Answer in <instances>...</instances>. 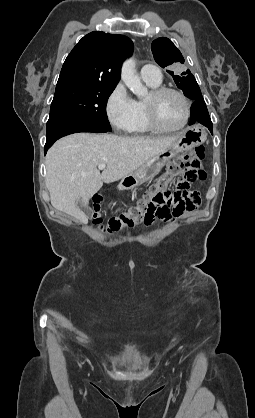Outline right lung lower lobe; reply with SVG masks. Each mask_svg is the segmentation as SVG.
Instances as JSON below:
<instances>
[{"label":"right lung lower lobe","mask_w":255,"mask_h":418,"mask_svg":"<svg viewBox=\"0 0 255 418\" xmlns=\"http://www.w3.org/2000/svg\"><path fill=\"white\" fill-rule=\"evenodd\" d=\"M78 132L105 133L110 132V130L91 122H85L75 119H56L48 121L44 153L46 154L47 150L59 138Z\"/></svg>","instance_id":"obj_1"}]
</instances>
